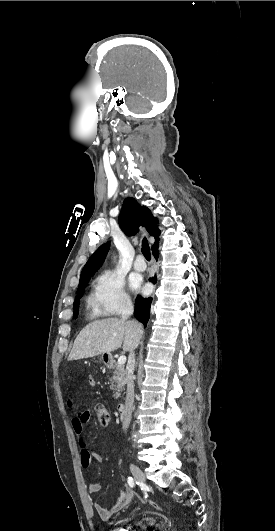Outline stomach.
<instances>
[{
  "instance_id": "obj_1",
  "label": "stomach",
  "mask_w": 275,
  "mask_h": 531,
  "mask_svg": "<svg viewBox=\"0 0 275 531\" xmlns=\"http://www.w3.org/2000/svg\"><path fill=\"white\" fill-rule=\"evenodd\" d=\"M99 361H101V363H105V365H110V363H112L111 353H102Z\"/></svg>"
}]
</instances>
